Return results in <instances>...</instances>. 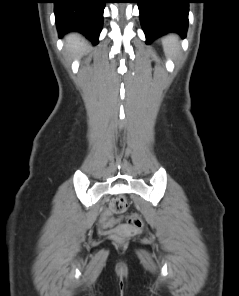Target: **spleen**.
Listing matches in <instances>:
<instances>
[{"label": "spleen", "mask_w": 239, "mask_h": 296, "mask_svg": "<svg viewBox=\"0 0 239 296\" xmlns=\"http://www.w3.org/2000/svg\"><path fill=\"white\" fill-rule=\"evenodd\" d=\"M164 51L168 56H174L179 50L178 38L176 35L170 34L163 38Z\"/></svg>", "instance_id": "3e777b00"}]
</instances>
